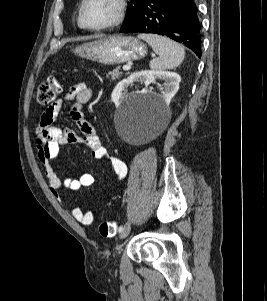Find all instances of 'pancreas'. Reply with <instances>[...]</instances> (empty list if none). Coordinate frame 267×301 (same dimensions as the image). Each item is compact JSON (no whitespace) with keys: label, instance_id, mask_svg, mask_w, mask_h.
Returning a JSON list of instances; mask_svg holds the SVG:
<instances>
[{"label":"pancreas","instance_id":"1","mask_svg":"<svg viewBox=\"0 0 267 301\" xmlns=\"http://www.w3.org/2000/svg\"><path fill=\"white\" fill-rule=\"evenodd\" d=\"M119 68H115L113 71L108 72L107 77H111L112 80L118 79L121 76Z\"/></svg>","mask_w":267,"mask_h":301}]
</instances>
